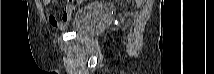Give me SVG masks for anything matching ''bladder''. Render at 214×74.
Listing matches in <instances>:
<instances>
[{
  "mask_svg": "<svg viewBox=\"0 0 214 74\" xmlns=\"http://www.w3.org/2000/svg\"><path fill=\"white\" fill-rule=\"evenodd\" d=\"M111 19L109 10L91 2L74 16L69 27L77 34L93 36Z\"/></svg>",
  "mask_w": 214,
  "mask_h": 74,
  "instance_id": "31cf9c89",
  "label": "bladder"
}]
</instances>
